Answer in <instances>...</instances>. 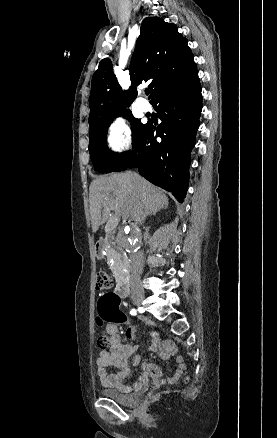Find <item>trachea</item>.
I'll return each instance as SVG.
<instances>
[{
    "label": "trachea",
    "mask_w": 277,
    "mask_h": 438,
    "mask_svg": "<svg viewBox=\"0 0 277 438\" xmlns=\"http://www.w3.org/2000/svg\"><path fill=\"white\" fill-rule=\"evenodd\" d=\"M146 95H149L150 91L149 90H145Z\"/></svg>",
    "instance_id": "3493384b"
}]
</instances>
